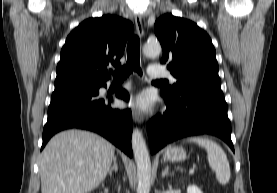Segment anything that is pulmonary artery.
<instances>
[{"mask_svg":"<svg viewBox=\"0 0 277 193\" xmlns=\"http://www.w3.org/2000/svg\"><path fill=\"white\" fill-rule=\"evenodd\" d=\"M148 74L151 78L154 79L169 78L171 81H175V78L168 71L155 65L149 66Z\"/></svg>","mask_w":277,"mask_h":193,"instance_id":"obj_1","label":"pulmonary artery"}]
</instances>
